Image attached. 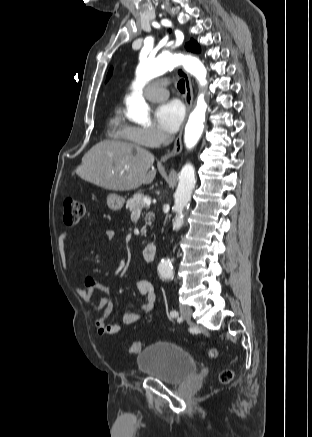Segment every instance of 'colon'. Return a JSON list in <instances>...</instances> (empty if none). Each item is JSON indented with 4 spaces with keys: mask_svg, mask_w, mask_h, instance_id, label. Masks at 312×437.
<instances>
[{
    "mask_svg": "<svg viewBox=\"0 0 312 437\" xmlns=\"http://www.w3.org/2000/svg\"><path fill=\"white\" fill-rule=\"evenodd\" d=\"M64 221L68 225H74L79 222V220L83 217L85 208L84 204L81 201L75 200L73 198H66L64 200ZM141 343L133 342L129 348L130 354H138L141 351ZM209 355L211 357H216L217 351L215 349H211L209 351ZM234 373L231 369H224L219 374V380L221 383H229L232 381Z\"/></svg>",
    "mask_w": 312,
    "mask_h": 437,
    "instance_id": "1",
    "label": "colon"
}]
</instances>
